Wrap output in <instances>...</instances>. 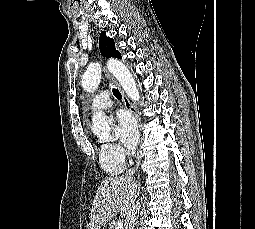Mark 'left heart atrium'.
I'll return each instance as SVG.
<instances>
[{
    "label": "left heart atrium",
    "mask_w": 255,
    "mask_h": 229,
    "mask_svg": "<svg viewBox=\"0 0 255 229\" xmlns=\"http://www.w3.org/2000/svg\"><path fill=\"white\" fill-rule=\"evenodd\" d=\"M115 132L120 142L127 148L136 146L139 133L135 121L125 113H119Z\"/></svg>",
    "instance_id": "obj_1"
}]
</instances>
